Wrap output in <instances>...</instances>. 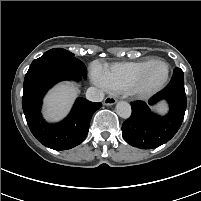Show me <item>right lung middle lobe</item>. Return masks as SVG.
Instances as JSON below:
<instances>
[{
  "mask_svg": "<svg viewBox=\"0 0 201 201\" xmlns=\"http://www.w3.org/2000/svg\"><path fill=\"white\" fill-rule=\"evenodd\" d=\"M51 53H60V54H63L65 56H68V57L74 59L78 63V65L81 67L80 71L84 75V77L87 76V70H86L85 65L80 60L74 58L73 53H71V52H69V51H67L65 49L55 48V49H51V50L47 51L45 54H51Z\"/></svg>",
  "mask_w": 201,
  "mask_h": 201,
  "instance_id": "1",
  "label": "right lung middle lobe"
}]
</instances>
